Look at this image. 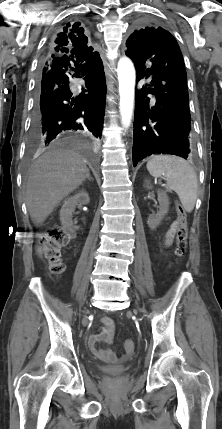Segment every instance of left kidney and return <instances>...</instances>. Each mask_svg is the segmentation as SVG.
Here are the masks:
<instances>
[{
  "label": "left kidney",
  "mask_w": 222,
  "mask_h": 429,
  "mask_svg": "<svg viewBox=\"0 0 222 429\" xmlns=\"http://www.w3.org/2000/svg\"><path fill=\"white\" fill-rule=\"evenodd\" d=\"M147 189H152L150 182L145 180V185ZM158 201H159V212L156 215H151L148 217L147 224L151 230H155L160 224L164 216L168 213L169 210V198L166 192L158 190Z\"/></svg>",
  "instance_id": "1"
}]
</instances>
